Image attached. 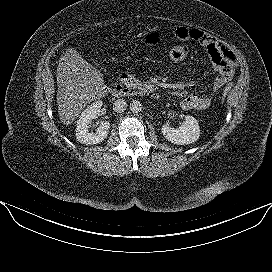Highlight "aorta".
Masks as SVG:
<instances>
[{"label": "aorta", "mask_w": 272, "mask_h": 272, "mask_svg": "<svg viewBox=\"0 0 272 272\" xmlns=\"http://www.w3.org/2000/svg\"><path fill=\"white\" fill-rule=\"evenodd\" d=\"M130 110L133 112V113H138L142 110V104L140 101L138 100H133L131 101L130 103Z\"/></svg>", "instance_id": "1"}]
</instances>
